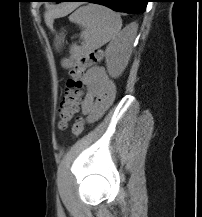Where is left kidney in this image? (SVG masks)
Instances as JSON below:
<instances>
[{
	"label": "left kidney",
	"instance_id": "obj_1",
	"mask_svg": "<svg viewBox=\"0 0 202 217\" xmlns=\"http://www.w3.org/2000/svg\"><path fill=\"white\" fill-rule=\"evenodd\" d=\"M132 38L120 34L113 39L105 50L106 67L112 78H118L128 65L131 51Z\"/></svg>",
	"mask_w": 202,
	"mask_h": 217
}]
</instances>
